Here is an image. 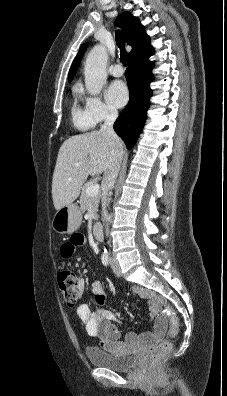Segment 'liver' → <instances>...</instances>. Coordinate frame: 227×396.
I'll list each match as a JSON object with an SVG mask.
<instances>
[{
    "label": "liver",
    "mask_w": 227,
    "mask_h": 396,
    "mask_svg": "<svg viewBox=\"0 0 227 396\" xmlns=\"http://www.w3.org/2000/svg\"><path fill=\"white\" fill-rule=\"evenodd\" d=\"M115 143L123 154L121 139L118 138ZM112 146L111 138L101 131L72 136L63 142L52 180V198L56 210L77 199L89 175L95 176L105 171Z\"/></svg>",
    "instance_id": "obj_1"
}]
</instances>
